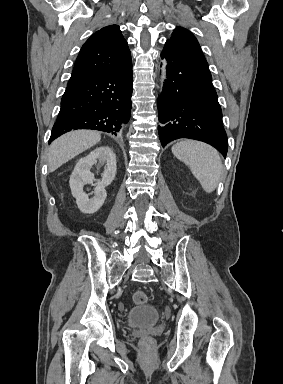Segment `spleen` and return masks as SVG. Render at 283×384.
I'll list each match as a JSON object with an SVG mask.
<instances>
[{
  "label": "spleen",
  "instance_id": "1",
  "mask_svg": "<svg viewBox=\"0 0 283 384\" xmlns=\"http://www.w3.org/2000/svg\"><path fill=\"white\" fill-rule=\"evenodd\" d=\"M172 154L190 168L205 192H214L222 176V162L215 148L203 142L183 140L172 146Z\"/></svg>",
  "mask_w": 283,
  "mask_h": 384
}]
</instances>
